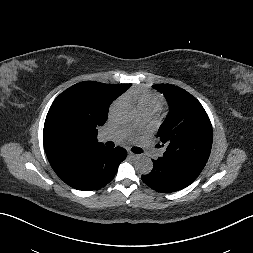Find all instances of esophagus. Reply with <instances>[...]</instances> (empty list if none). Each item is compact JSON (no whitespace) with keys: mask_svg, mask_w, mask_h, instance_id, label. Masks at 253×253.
Listing matches in <instances>:
<instances>
[{"mask_svg":"<svg viewBox=\"0 0 253 253\" xmlns=\"http://www.w3.org/2000/svg\"><path fill=\"white\" fill-rule=\"evenodd\" d=\"M128 155L132 158V159H138L140 156L138 154L129 152Z\"/></svg>","mask_w":253,"mask_h":253,"instance_id":"1","label":"esophagus"}]
</instances>
